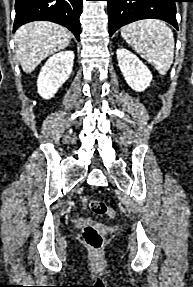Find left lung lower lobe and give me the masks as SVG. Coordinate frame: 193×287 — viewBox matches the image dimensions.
Here are the masks:
<instances>
[{
	"mask_svg": "<svg viewBox=\"0 0 193 287\" xmlns=\"http://www.w3.org/2000/svg\"><path fill=\"white\" fill-rule=\"evenodd\" d=\"M108 1L109 35L120 27L141 19H161L178 29V0H105Z\"/></svg>",
	"mask_w": 193,
	"mask_h": 287,
	"instance_id": "1",
	"label": "left lung lower lobe"
}]
</instances>
